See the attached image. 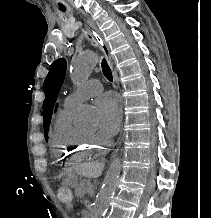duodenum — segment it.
Here are the masks:
<instances>
[{"label": "duodenum", "instance_id": "obj_1", "mask_svg": "<svg viewBox=\"0 0 211 218\" xmlns=\"http://www.w3.org/2000/svg\"><path fill=\"white\" fill-rule=\"evenodd\" d=\"M91 213L89 210L85 209L82 211V218H90Z\"/></svg>", "mask_w": 211, "mask_h": 218}]
</instances>
